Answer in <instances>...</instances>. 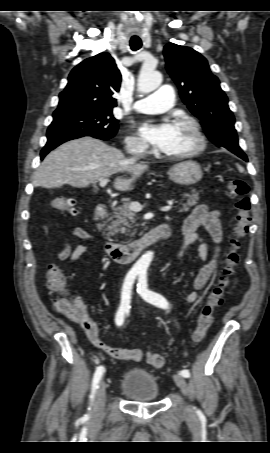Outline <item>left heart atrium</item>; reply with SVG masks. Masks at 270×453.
<instances>
[{"label":"left heart atrium","mask_w":270,"mask_h":453,"mask_svg":"<svg viewBox=\"0 0 270 453\" xmlns=\"http://www.w3.org/2000/svg\"><path fill=\"white\" fill-rule=\"evenodd\" d=\"M174 132L175 124L167 121L161 123H146L140 129L141 136L146 141L162 150L169 145Z\"/></svg>","instance_id":"39dd6f15"}]
</instances>
